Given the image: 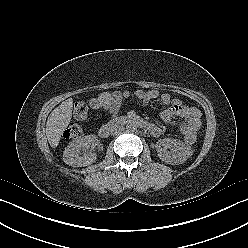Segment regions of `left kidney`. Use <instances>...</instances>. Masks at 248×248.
Here are the masks:
<instances>
[{
    "instance_id": "5707ae66",
    "label": "left kidney",
    "mask_w": 248,
    "mask_h": 248,
    "mask_svg": "<svg viewBox=\"0 0 248 248\" xmlns=\"http://www.w3.org/2000/svg\"><path fill=\"white\" fill-rule=\"evenodd\" d=\"M156 148L159 158L163 162L172 165L184 163L193 154L191 146L170 138L160 139Z\"/></svg>"
}]
</instances>
